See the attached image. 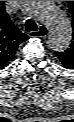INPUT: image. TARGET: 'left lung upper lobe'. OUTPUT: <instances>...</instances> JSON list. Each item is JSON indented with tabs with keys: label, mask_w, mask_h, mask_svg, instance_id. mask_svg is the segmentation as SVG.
<instances>
[{
	"label": "left lung upper lobe",
	"mask_w": 74,
	"mask_h": 122,
	"mask_svg": "<svg viewBox=\"0 0 74 122\" xmlns=\"http://www.w3.org/2000/svg\"><path fill=\"white\" fill-rule=\"evenodd\" d=\"M69 8L72 13V30H73V37L70 46L63 52H56L58 59L64 63L72 66L74 68V1H68Z\"/></svg>",
	"instance_id": "1"
}]
</instances>
